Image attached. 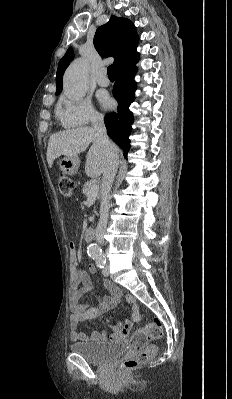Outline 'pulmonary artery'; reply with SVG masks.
Listing matches in <instances>:
<instances>
[{
	"label": "pulmonary artery",
	"instance_id": "e3ab8cb5",
	"mask_svg": "<svg viewBox=\"0 0 232 399\" xmlns=\"http://www.w3.org/2000/svg\"><path fill=\"white\" fill-rule=\"evenodd\" d=\"M95 83L98 84L97 90H106L107 86L110 85L105 69H100L95 77Z\"/></svg>",
	"mask_w": 232,
	"mask_h": 399
}]
</instances>
